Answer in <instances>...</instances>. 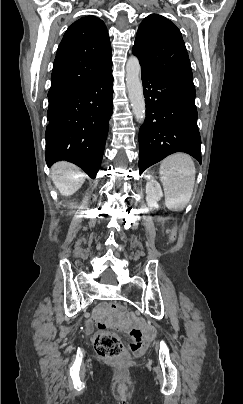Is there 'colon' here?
Listing matches in <instances>:
<instances>
[{
	"instance_id": "obj_1",
	"label": "colon",
	"mask_w": 243,
	"mask_h": 404,
	"mask_svg": "<svg viewBox=\"0 0 243 404\" xmlns=\"http://www.w3.org/2000/svg\"><path fill=\"white\" fill-rule=\"evenodd\" d=\"M112 314L123 313L124 307L118 303L108 305ZM126 341L112 332H100L95 337V348L99 356L105 359H114L123 356L127 351L142 353L148 346L149 340L137 327L130 328L126 334Z\"/></svg>"
}]
</instances>
